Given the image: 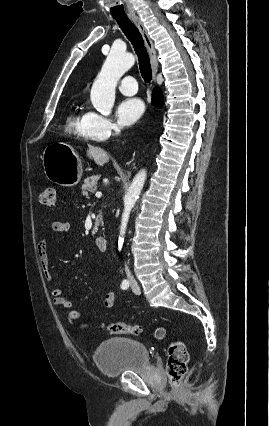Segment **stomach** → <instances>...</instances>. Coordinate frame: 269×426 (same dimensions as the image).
Masks as SVG:
<instances>
[{"instance_id":"stomach-1","label":"stomach","mask_w":269,"mask_h":426,"mask_svg":"<svg viewBox=\"0 0 269 426\" xmlns=\"http://www.w3.org/2000/svg\"><path fill=\"white\" fill-rule=\"evenodd\" d=\"M44 173L47 179L64 187H72L82 177V164L75 150L63 142H54L43 151Z\"/></svg>"}]
</instances>
